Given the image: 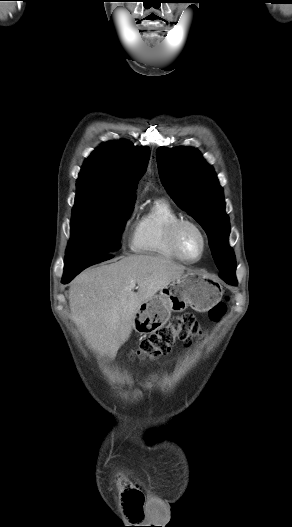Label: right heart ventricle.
Returning a JSON list of instances; mask_svg holds the SVG:
<instances>
[{
	"label": "right heart ventricle",
	"mask_w": 292,
	"mask_h": 527,
	"mask_svg": "<svg viewBox=\"0 0 292 527\" xmlns=\"http://www.w3.org/2000/svg\"><path fill=\"white\" fill-rule=\"evenodd\" d=\"M181 218L180 213L165 199L157 200L137 218L132 249L136 253L166 259H178L169 243L172 224Z\"/></svg>",
	"instance_id": "e07e8e85"
}]
</instances>
